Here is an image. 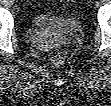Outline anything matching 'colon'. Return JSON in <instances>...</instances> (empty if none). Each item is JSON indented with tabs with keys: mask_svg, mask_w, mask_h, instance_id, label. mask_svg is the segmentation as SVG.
<instances>
[{
	"mask_svg": "<svg viewBox=\"0 0 111 106\" xmlns=\"http://www.w3.org/2000/svg\"><path fill=\"white\" fill-rule=\"evenodd\" d=\"M66 53L63 51H59L55 53L52 57V60L55 64H63L66 60Z\"/></svg>",
	"mask_w": 111,
	"mask_h": 106,
	"instance_id": "1",
	"label": "colon"
}]
</instances>
